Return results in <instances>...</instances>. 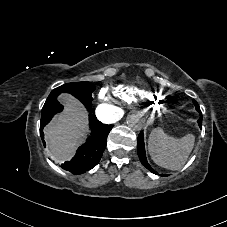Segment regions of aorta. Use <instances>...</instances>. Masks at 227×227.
<instances>
[{
    "instance_id": "1",
    "label": "aorta",
    "mask_w": 227,
    "mask_h": 227,
    "mask_svg": "<svg viewBox=\"0 0 227 227\" xmlns=\"http://www.w3.org/2000/svg\"><path fill=\"white\" fill-rule=\"evenodd\" d=\"M127 124L131 129L136 131L143 129L146 124V118L144 113L140 111L131 112L127 116Z\"/></svg>"
}]
</instances>
